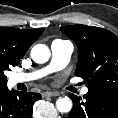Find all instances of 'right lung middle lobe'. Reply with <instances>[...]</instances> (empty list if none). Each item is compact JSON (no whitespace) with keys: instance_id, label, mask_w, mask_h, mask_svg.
I'll list each match as a JSON object with an SVG mask.
<instances>
[{"instance_id":"right-lung-middle-lobe-1","label":"right lung middle lobe","mask_w":118,"mask_h":118,"mask_svg":"<svg viewBox=\"0 0 118 118\" xmlns=\"http://www.w3.org/2000/svg\"><path fill=\"white\" fill-rule=\"evenodd\" d=\"M18 61L12 60L6 53L0 52V84L7 85V79L4 75L6 70H10L11 66L18 65Z\"/></svg>"}]
</instances>
